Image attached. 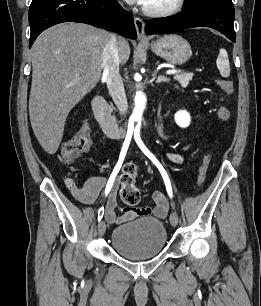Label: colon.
<instances>
[{"mask_svg":"<svg viewBox=\"0 0 261 306\" xmlns=\"http://www.w3.org/2000/svg\"><path fill=\"white\" fill-rule=\"evenodd\" d=\"M218 86L222 92L229 95L233 92V83L230 80L219 79ZM217 116L222 121H227L230 118L228 108L221 106L217 110ZM91 144V133L87 125H83L78 132L66 141L62 148V158L67 164L74 162L80 155L88 150ZM212 154L209 153L200 168L198 182L201 183L204 179ZM137 168L133 163H127L119 177L121 184L120 196L122 201L128 206H134L140 201V192L136 186Z\"/></svg>","mask_w":261,"mask_h":306,"instance_id":"1","label":"colon"}]
</instances>
